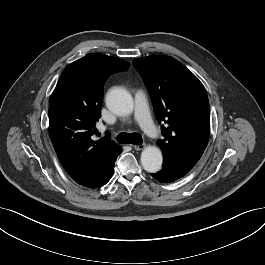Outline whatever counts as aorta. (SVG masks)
<instances>
[{
    "label": "aorta",
    "mask_w": 265,
    "mask_h": 265,
    "mask_svg": "<svg viewBox=\"0 0 265 265\" xmlns=\"http://www.w3.org/2000/svg\"><path fill=\"white\" fill-rule=\"evenodd\" d=\"M106 105L110 111L119 116L132 113L134 102L131 94L122 87L110 89L106 95ZM162 153L157 147H147L141 153V164L149 173H156L162 166Z\"/></svg>",
    "instance_id": "aorta-1"
}]
</instances>
